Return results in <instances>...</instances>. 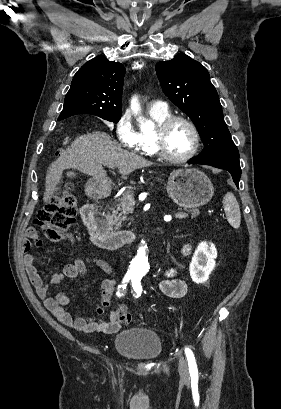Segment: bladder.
Segmentation results:
<instances>
[{"label": "bladder", "instance_id": "31cf9c89", "mask_svg": "<svg viewBox=\"0 0 281 409\" xmlns=\"http://www.w3.org/2000/svg\"><path fill=\"white\" fill-rule=\"evenodd\" d=\"M114 352L133 361H154L164 351L162 337L149 327L124 328L115 334Z\"/></svg>", "mask_w": 281, "mask_h": 409}]
</instances>
